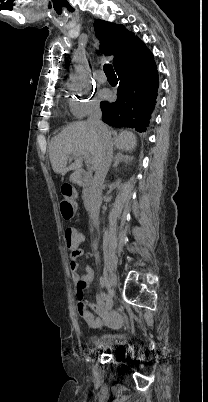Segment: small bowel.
Returning a JSON list of instances; mask_svg holds the SVG:
<instances>
[{
	"label": "small bowel",
	"instance_id": "small-bowel-1",
	"mask_svg": "<svg viewBox=\"0 0 208 402\" xmlns=\"http://www.w3.org/2000/svg\"><path fill=\"white\" fill-rule=\"evenodd\" d=\"M81 243L86 241L84 236L79 238ZM70 269L72 272V279L75 284L76 296L78 299H83L85 295V290L89 283L93 279V269L89 266L85 267L84 273L80 274L78 272V263L73 261L70 264ZM104 297L99 296L97 302L93 305V309L96 311L97 315L90 316L87 321L90 323L89 327L91 330H120L123 324L120 321H111L112 315L110 316L104 308Z\"/></svg>",
	"mask_w": 208,
	"mask_h": 402
}]
</instances>
